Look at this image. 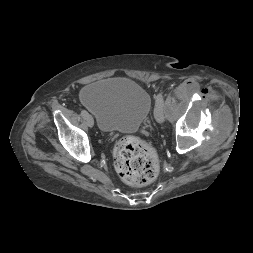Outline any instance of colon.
<instances>
[{
  "label": "colon",
  "mask_w": 253,
  "mask_h": 253,
  "mask_svg": "<svg viewBox=\"0 0 253 253\" xmlns=\"http://www.w3.org/2000/svg\"><path fill=\"white\" fill-rule=\"evenodd\" d=\"M114 164L120 178L131 186H144L153 182L159 172L155 150L137 137L121 139L113 152Z\"/></svg>",
  "instance_id": "1"
}]
</instances>
